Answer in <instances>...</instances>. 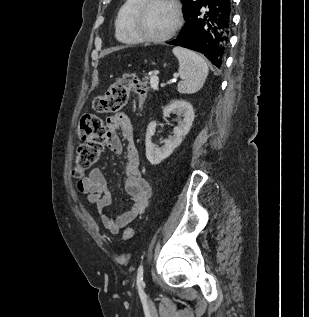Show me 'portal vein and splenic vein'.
Instances as JSON below:
<instances>
[{
	"label": "portal vein and splenic vein",
	"mask_w": 309,
	"mask_h": 317,
	"mask_svg": "<svg viewBox=\"0 0 309 317\" xmlns=\"http://www.w3.org/2000/svg\"><path fill=\"white\" fill-rule=\"evenodd\" d=\"M159 72L158 71H155V75H153L151 77V80H150V83H151V86L154 88V89H157L158 88V84H159V78L157 76Z\"/></svg>",
	"instance_id": "18ae733b"
}]
</instances>
